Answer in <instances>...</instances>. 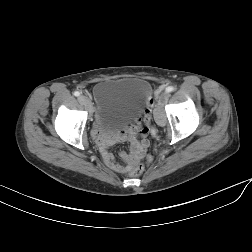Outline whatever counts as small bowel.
<instances>
[{
    "label": "small bowel",
    "mask_w": 252,
    "mask_h": 252,
    "mask_svg": "<svg viewBox=\"0 0 252 252\" xmlns=\"http://www.w3.org/2000/svg\"><path fill=\"white\" fill-rule=\"evenodd\" d=\"M150 90V87H148ZM153 128L144 123L140 115L135 116L134 123L128 124L121 128L114 137L102 141L103 158L107 166L119 173L129 171L137 162L141 161L149 147L148 136L153 133ZM126 140L130 144V153L121 152L120 158L122 164L114 160L113 156L108 152L109 146L116 141Z\"/></svg>",
    "instance_id": "1"
}]
</instances>
